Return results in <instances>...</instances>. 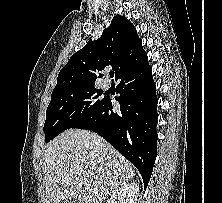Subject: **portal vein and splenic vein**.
<instances>
[{"label": "portal vein and splenic vein", "mask_w": 222, "mask_h": 203, "mask_svg": "<svg viewBox=\"0 0 222 203\" xmlns=\"http://www.w3.org/2000/svg\"><path fill=\"white\" fill-rule=\"evenodd\" d=\"M86 183H87L86 180H84V181H83V184L86 185Z\"/></svg>", "instance_id": "1"}]
</instances>
